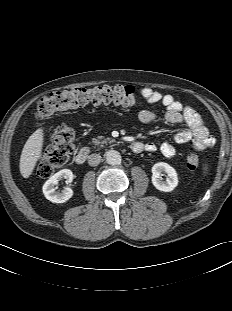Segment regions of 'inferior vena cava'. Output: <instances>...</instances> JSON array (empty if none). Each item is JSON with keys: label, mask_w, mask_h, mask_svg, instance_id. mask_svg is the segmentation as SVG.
Wrapping results in <instances>:
<instances>
[{"label": "inferior vena cava", "mask_w": 232, "mask_h": 311, "mask_svg": "<svg viewBox=\"0 0 232 311\" xmlns=\"http://www.w3.org/2000/svg\"><path fill=\"white\" fill-rule=\"evenodd\" d=\"M101 162V156L99 154H91L88 157V164L90 166H97Z\"/></svg>", "instance_id": "inferior-vena-cava-1"}]
</instances>
